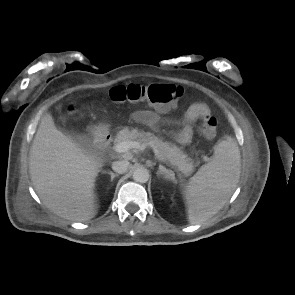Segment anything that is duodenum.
Returning <instances> with one entry per match:
<instances>
[{"instance_id": "410a0bca", "label": "duodenum", "mask_w": 295, "mask_h": 295, "mask_svg": "<svg viewBox=\"0 0 295 295\" xmlns=\"http://www.w3.org/2000/svg\"><path fill=\"white\" fill-rule=\"evenodd\" d=\"M111 142V135L106 131H100L95 137V145L98 149H106Z\"/></svg>"}]
</instances>
